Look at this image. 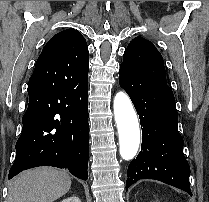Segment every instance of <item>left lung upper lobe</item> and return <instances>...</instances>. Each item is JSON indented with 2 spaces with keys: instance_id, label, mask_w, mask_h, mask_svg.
<instances>
[{
  "instance_id": "5c2ea615",
  "label": "left lung upper lobe",
  "mask_w": 209,
  "mask_h": 202,
  "mask_svg": "<svg viewBox=\"0 0 209 202\" xmlns=\"http://www.w3.org/2000/svg\"><path fill=\"white\" fill-rule=\"evenodd\" d=\"M120 67L167 84L163 57L154 44L145 38L136 37L129 43Z\"/></svg>"
}]
</instances>
